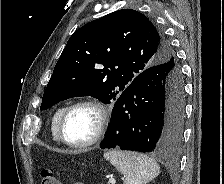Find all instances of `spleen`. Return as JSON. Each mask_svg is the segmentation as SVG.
Wrapping results in <instances>:
<instances>
[{
	"label": "spleen",
	"mask_w": 224,
	"mask_h": 184,
	"mask_svg": "<svg viewBox=\"0 0 224 184\" xmlns=\"http://www.w3.org/2000/svg\"><path fill=\"white\" fill-rule=\"evenodd\" d=\"M104 158L125 176L124 184H147L160 173L158 163L140 153L113 150L104 153Z\"/></svg>",
	"instance_id": "3e777b00"
}]
</instances>
